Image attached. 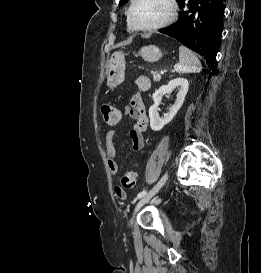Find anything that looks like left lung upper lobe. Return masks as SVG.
<instances>
[{
	"label": "left lung upper lobe",
	"instance_id": "1",
	"mask_svg": "<svg viewBox=\"0 0 261 273\" xmlns=\"http://www.w3.org/2000/svg\"><path fill=\"white\" fill-rule=\"evenodd\" d=\"M128 0H120V5L126 3ZM178 1V0H177Z\"/></svg>",
	"mask_w": 261,
	"mask_h": 273
}]
</instances>
